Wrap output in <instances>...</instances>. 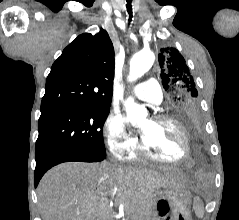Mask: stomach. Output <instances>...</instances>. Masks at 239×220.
Masks as SVG:
<instances>
[{"mask_svg": "<svg viewBox=\"0 0 239 220\" xmlns=\"http://www.w3.org/2000/svg\"><path fill=\"white\" fill-rule=\"evenodd\" d=\"M159 193L160 198L154 207V217H160L162 220H190V198L183 186L167 187Z\"/></svg>", "mask_w": 239, "mask_h": 220, "instance_id": "stomach-1", "label": "stomach"}]
</instances>
